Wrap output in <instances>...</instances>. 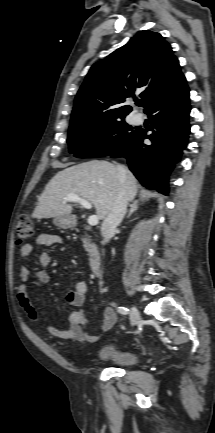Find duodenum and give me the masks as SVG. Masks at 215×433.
<instances>
[{"mask_svg": "<svg viewBox=\"0 0 215 433\" xmlns=\"http://www.w3.org/2000/svg\"><path fill=\"white\" fill-rule=\"evenodd\" d=\"M90 271L96 276H101V257L98 254H93L90 259Z\"/></svg>", "mask_w": 215, "mask_h": 433, "instance_id": "obj_1", "label": "duodenum"}]
</instances>
